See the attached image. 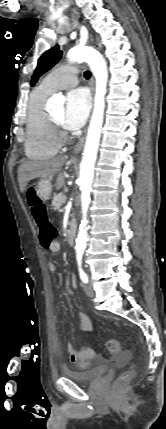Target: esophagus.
Returning <instances> with one entry per match:
<instances>
[{"mask_svg": "<svg viewBox=\"0 0 166 429\" xmlns=\"http://www.w3.org/2000/svg\"><path fill=\"white\" fill-rule=\"evenodd\" d=\"M72 18L74 19V20H77V18H78V13H76L75 11L72 13ZM91 91H92V94L94 93V79H93V77H92V79H91ZM85 134H86V130H85V132H84V135L80 138V140L77 142V144L75 145V147H74V150H73V155L75 156V155H77L81 150H82V147H83V144H84V141H85Z\"/></svg>", "mask_w": 166, "mask_h": 429, "instance_id": "1", "label": "esophagus"}]
</instances>
